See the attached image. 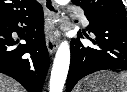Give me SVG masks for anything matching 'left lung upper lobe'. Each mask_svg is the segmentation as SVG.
Here are the masks:
<instances>
[{
	"mask_svg": "<svg viewBox=\"0 0 127 92\" xmlns=\"http://www.w3.org/2000/svg\"><path fill=\"white\" fill-rule=\"evenodd\" d=\"M72 2L90 16L126 20L122 0H72Z\"/></svg>",
	"mask_w": 127,
	"mask_h": 92,
	"instance_id": "5c2ea615",
	"label": "left lung upper lobe"
}]
</instances>
